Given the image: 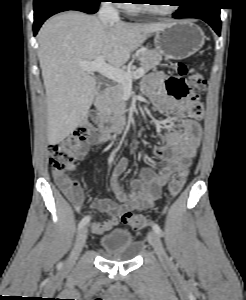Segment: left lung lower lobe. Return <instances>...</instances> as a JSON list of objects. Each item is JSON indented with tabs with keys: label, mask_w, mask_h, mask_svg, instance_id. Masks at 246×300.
Masks as SVG:
<instances>
[{
	"label": "left lung lower lobe",
	"mask_w": 246,
	"mask_h": 300,
	"mask_svg": "<svg viewBox=\"0 0 246 300\" xmlns=\"http://www.w3.org/2000/svg\"><path fill=\"white\" fill-rule=\"evenodd\" d=\"M220 9L216 0H188L173 13V18L202 19L220 36Z\"/></svg>",
	"instance_id": "obj_1"
}]
</instances>
